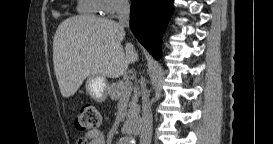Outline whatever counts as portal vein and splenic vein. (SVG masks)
I'll list each match as a JSON object with an SVG mask.
<instances>
[{"instance_id":"18ae733b","label":"portal vein and splenic vein","mask_w":273,"mask_h":144,"mask_svg":"<svg viewBox=\"0 0 273 144\" xmlns=\"http://www.w3.org/2000/svg\"><path fill=\"white\" fill-rule=\"evenodd\" d=\"M126 88L128 90H131L132 89V83L130 81H126Z\"/></svg>"}]
</instances>
